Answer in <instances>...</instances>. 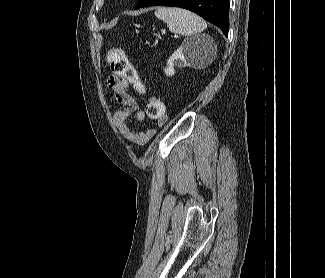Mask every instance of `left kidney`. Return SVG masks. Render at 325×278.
Returning <instances> with one entry per match:
<instances>
[{
    "label": "left kidney",
    "instance_id": "left-kidney-1",
    "mask_svg": "<svg viewBox=\"0 0 325 278\" xmlns=\"http://www.w3.org/2000/svg\"><path fill=\"white\" fill-rule=\"evenodd\" d=\"M195 53V48L191 44L184 42L182 46L174 51V53L168 59L167 67L164 69L166 75L173 76L175 74L174 66H191L194 61Z\"/></svg>",
    "mask_w": 325,
    "mask_h": 278
}]
</instances>
